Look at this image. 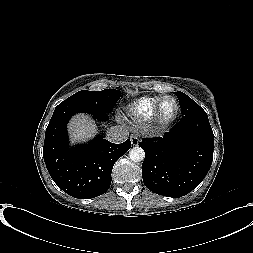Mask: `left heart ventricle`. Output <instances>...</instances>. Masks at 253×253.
<instances>
[{"label": "left heart ventricle", "mask_w": 253, "mask_h": 253, "mask_svg": "<svg viewBox=\"0 0 253 253\" xmlns=\"http://www.w3.org/2000/svg\"><path fill=\"white\" fill-rule=\"evenodd\" d=\"M175 109H176V106H175L174 101L171 99H166L161 106L160 115L162 118L167 119L174 114Z\"/></svg>", "instance_id": "left-heart-ventricle-1"}]
</instances>
